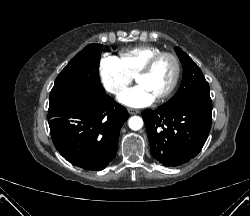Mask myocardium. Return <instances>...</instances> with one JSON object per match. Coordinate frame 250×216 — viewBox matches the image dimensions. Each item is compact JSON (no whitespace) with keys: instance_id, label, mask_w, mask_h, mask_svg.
<instances>
[{"instance_id":"myocardium-1","label":"myocardium","mask_w":250,"mask_h":216,"mask_svg":"<svg viewBox=\"0 0 250 216\" xmlns=\"http://www.w3.org/2000/svg\"><path fill=\"white\" fill-rule=\"evenodd\" d=\"M165 57L170 58L174 63V75L168 88L158 96L154 97L155 101H161L166 99L176 88L181 74V65L178 57L171 52H160L159 54L153 56L136 75V80H138L144 75H147L152 71L158 61Z\"/></svg>"}]
</instances>
